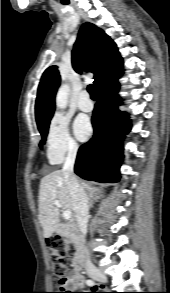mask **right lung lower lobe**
<instances>
[{"label": "right lung lower lobe", "instance_id": "98d812e1", "mask_svg": "<svg viewBox=\"0 0 170 293\" xmlns=\"http://www.w3.org/2000/svg\"><path fill=\"white\" fill-rule=\"evenodd\" d=\"M121 74L109 78L97 88L99 102L92 116L94 135L80 147L75 163V173L86 180L116 183L120 179L121 141L131 129L128 115L118 109Z\"/></svg>", "mask_w": 170, "mask_h": 293}]
</instances>
